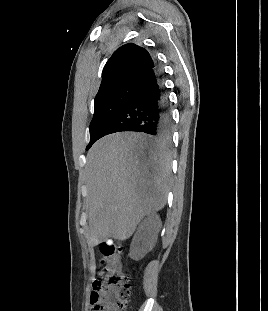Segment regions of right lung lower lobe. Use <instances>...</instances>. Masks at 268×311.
Here are the masks:
<instances>
[{
    "instance_id": "obj_1",
    "label": "right lung lower lobe",
    "mask_w": 268,
    "mask_h": 311,
    "mask_svg": "<svg viewBox=\"0 0 268 311\" xmlns=\"http://www.w3.org/2000/svg\"><path fill=\"white\" fill-rule=\"evenodd\" d=\"M171 127L169 101L162 74L154 62V67L136 83L132 97L105 129L103 136L115 132L136 131L168 140Z\"/></svg>"
}]
</instances>
